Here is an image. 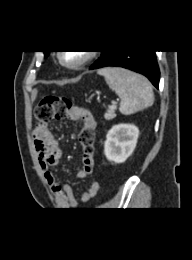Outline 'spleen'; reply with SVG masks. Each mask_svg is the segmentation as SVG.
Returning <instances> with one entry per match:
<instances>
[{"instance_id": "3e777b00", "label": "spleen", "mask_w": 192, "mask_h": 260, "mask_svg": "<svg viewBox=\"0 0 192 260\" xmlns=\"http://www.w3.org/2000/svg\"><path fill=\"white\" fill-rule=\"evenodd\" d=\"M109 88L121 99L119 111L123 115L134 114L151 107L154 93L148 79L122 68L106 67L98 70Z\"/></svg>"}]
</instances>
